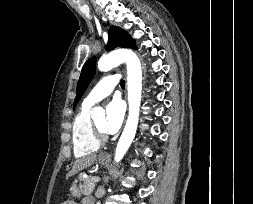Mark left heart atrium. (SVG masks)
Returning <instances> with one entry per match:
<instances>
[{
	"label": "left heart atrium",
	"mask_w": 253,
	"mask_h": 204,
	"mask_svg": "<svg viewBox=\"0 0 253 204\" xmlns=\"http://www.w3.org/2000/svg\"><path fill=\"white\" fill-rule=\"evenodd\" d=\"M124 119V107L118 99L112 100L106 107L104 130L109 134L116 133Z\"/></svg>",
	"instance_id": "1"
}]
</instances>
